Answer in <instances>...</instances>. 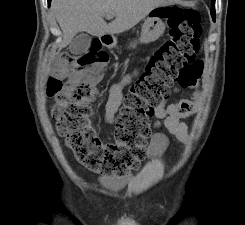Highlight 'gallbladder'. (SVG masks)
<instances>
[{"mask_svg": "<svg viewBox=\"0 0 245 225\" xmlns=\"http://www.w3.org/2000/svg\"><path fill=\"white\" fill-rule=\"evenodd\" d=\"M90 43L91 37L88 34L80 33L71 41L69 51L73 55H83L88 50Z\"/></svg>", "mask_w": 245, "mask_h": 225, "instance_id": "gallbladder-1", "label": "gallbladder"}]
</instances>
